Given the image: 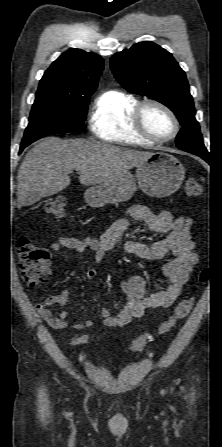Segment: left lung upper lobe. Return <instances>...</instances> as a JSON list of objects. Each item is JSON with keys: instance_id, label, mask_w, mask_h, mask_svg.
<instances>
[{"instance_id": "left-lung-upper-lobe-1", "label": "left lung upper lobe", "mask_w": 222, "mask_h": 447, "mask_svg": "<svg viewBox=\"0 0 222 447\" xmlns=\"http://www.w3.org/2000/svg\"><path fill=\"white\" fill-rule=\"evenodd\" d=\"M110 66L126 90L159 101L174 112L182 126L176 137L179 149L208 155L185 72L171 53L153 42H139L114 54Z\"/></svg>"}]
</instances>
